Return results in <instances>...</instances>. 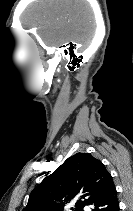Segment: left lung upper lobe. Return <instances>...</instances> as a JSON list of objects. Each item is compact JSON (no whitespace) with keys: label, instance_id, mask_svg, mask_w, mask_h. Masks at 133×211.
I'll return each instance as SVG.
<instances>
[{"label":"left lung upper lobe","instance_id":"left-lung-upper-lobe-1","mask_svg":"<svg viewBox=\"0 0 133 211\" xmlns=\"http://www.w3.org/2000/svg\"><path fill=\"white\" fill-rule=\"evenodd\" d=\"M114 187L104 164L89 153L69 157L47 176L30 194L23 211H63L74 204L73 211L93 206Z\"/></svg>","mask_w":133,"mask_h":211}]
</instances>
